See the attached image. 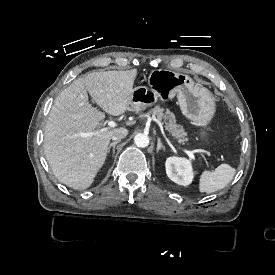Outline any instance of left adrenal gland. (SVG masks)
Listing matches in <instances>:
<instances>
[{"mask_svg":"<svg viewBox=\"0 0 275 275\" xmlns=\"http://www.w3.org/2000/svg\"><path fill=\"white\" fill-rule=\"evenodd\" d=\"M157 142H158V144H157V153L161 150V149H163L164 151H165V148H164V146L162 145V142H161V140L160 139H157Z\"/></svg>","mask_w":275,"mask_h":275,"instance_id":"left-adrenal-gland-1","label":"left adrenal gland"}]
</instances>
